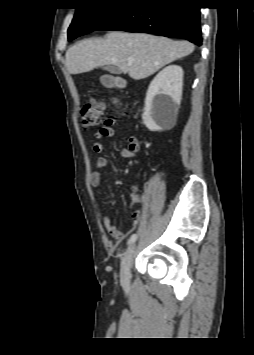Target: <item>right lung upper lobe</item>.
Returning a JSON list of instances; mask_svg holds the SVG:
<instances>
[{"label":"right lung upper lobe","mask_w":254,"mask_h":355,"mask_svg":"<svg viewBox=\"0 0 254 355\" xmlns=\"http://www.w3.org/2000/svg\"><path fill=\"white\" fill-rule=\"evenodd\" d=\"M88 1L91 2V1H94V0H88ZM116 1L123 2V3H127V2H129V1H131V0H116Z\"/></svg>","instance_id":"cb5924a9"}]
</instances>
